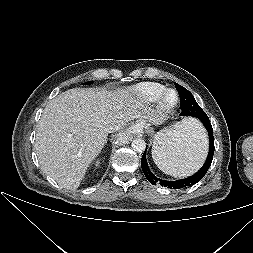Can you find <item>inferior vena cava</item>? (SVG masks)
Instances as JSON below:
<instances>
[{"mask_svg": "<svg viewBox=\"0 0 253 253\" xmlns=\"http://www.w3.org/2000/svg\"><path fill=\"white\" fill-rule=\"evenodd\" d=\"M115 130H118V126L109 127V128H108V132L115 131Z\"/></svg>", "mask_w": 253, "mask_h": 253, "instance_id": "602c4592", "label": "inferior vena cava"}]
</instances>
